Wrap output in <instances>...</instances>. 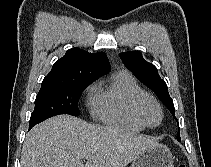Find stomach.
<instances>
[{
  "mask_svg": "<svg viewBox=\"0 0 211 167\" xmlns=\"http://www.w3.org/2000/svg\"><path fill=\"white\" fill-rule=\"evenodd\" d=\"M130 167H173V156L167 146L156 144L137 157Z\"/></svg>",
  "mask_w": 211,
  "mask_h": 167,
  "instance_id": "obj_1",
  "label": "stomach"
}]
</instances>
